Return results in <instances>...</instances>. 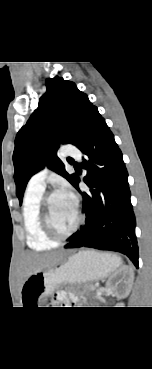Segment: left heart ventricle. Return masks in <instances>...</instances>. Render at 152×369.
<instances>
[{
	"instance_id": "left-heart-ventricle-1",
	"label": "left heart ventricle",
	"mask_w": 152,
	"mask_h": 369,
	"mask_svg": "<svg viewBox=\"0 0 152 369\" xmlns=\"http://www.w3.org/2000/svg\"><path fill=\"white\" fill-rule=\"evenodd\" d=\"M50 212L53 225L60 233L68 232L77 219L76 206L60 194L51 198Z\"/></svg>"
}]
</instances>
